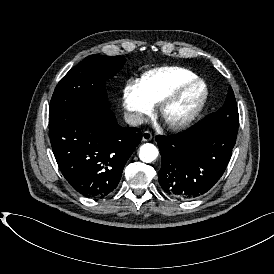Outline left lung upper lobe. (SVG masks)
<instances>
[{
	"label": "left lung upper lobe",
	"mask_w": 274,
	"mask_h": 274,
	"mask_svg": "<svg viewBox=\"0 0 274 274\" xmlns=\"http://www.w3.org/2000/svg\"><path fill=\"white\" fill-rule=\"evenodd\" d=\"M199 123L218 127L229 133L237 134L239 127V114L231 86L229 87L224 105L218 111L207 115Z\"/></svg>",
	"instance_id": "obj_1"
}]
</instances>
